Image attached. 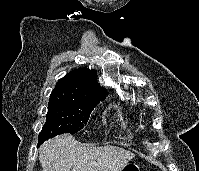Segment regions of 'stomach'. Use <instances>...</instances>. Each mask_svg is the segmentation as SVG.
<instances>
[{
    "instance_id": "1",
    "label": "stomach",
    "mask_w": 199,
    "mask_h": 171,
    "mask_svg": "<svg viewBox=\"0 0 199 171\" xmlns=\"http://www.w3.org/2000/svg\"><path fill=\"white\" fill-rule=\"evenodd\" d=\"M119 171H140V167L136 163L128 162Z\"/></svg>"
}]
</instances>
